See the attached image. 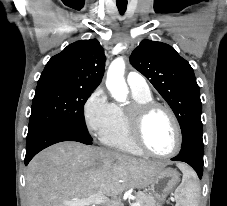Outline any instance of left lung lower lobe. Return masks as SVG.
Listing matches in <instances>:
<instances>
[{"label": "left lung lower lobe", "mask_w": 227, "mask_h": 206, "mask_svg": "<svg viewBox=\"0 0 227 206\" xmlns=\"http://www.w3.org/2000/svg\"><path fill=\"white\" fill-rule=\"evenodd\" d=\"M171 160L186 162L197 172L198 177L201 179L203 171V150L193 140L182 145L180 153Z\"/></svg>", "instance_id": "obj_1"}]
</instances>
